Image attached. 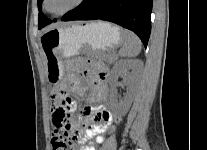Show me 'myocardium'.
<instances>
[{
    "label": "myocardium",
    "mask_w": 207,
    "mask_h": 150,
    "mask_svg": "<svg viewBox=\"0 0 207 150\" xmlns=\"http://www.w3.org/2000/svg\"><path fill=\"white\" fill-rule=\"evenodd\" d=\"M84 1L85 0H76L73 5H71L70 7H68L67 9H65L61 12L50 11L48 8V0H43V3H44V8H45L46 12H48L49 14L55 15V16H61V15H64V14L78 8L80 5H82L84 3Z\"/></svg>",
    "instance_id": "f54148a6"
}]
</instances>
